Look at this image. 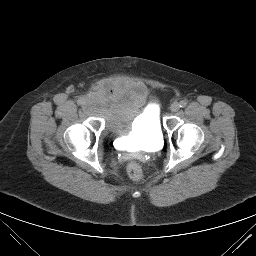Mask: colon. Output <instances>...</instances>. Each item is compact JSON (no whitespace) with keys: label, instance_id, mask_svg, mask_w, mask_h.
<instances>
[{"label":"colon","instance_id":"5ec220e1","mask_svg":"<svg viewBox=\"0 0 256 256\" xmlns=\"http://www.w3.org/2000/svg\"><path fill=\"white\" fill-rule=\"evenodd\" d=\"M127 172L129 177L134 181H141L143 179L142 169L136 162H131L128 164Z\"/></svg>","mask_w":256,"mask_h":256}]
</instances>
